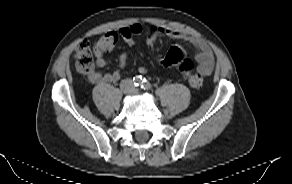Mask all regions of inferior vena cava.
I'll return each instance as SVG.
<instances>
[{
	"label": "inferior vena cava",
	"mask_w": 292,
	"mask_h": 184,
	"mask_svg": "<svg viewBox=\"0 0 292 184\" xmlns=\"http://www.w3.org/2000/svg\"><path fill=\"white\" fill-rule=\"evenodd\" d=\"M125 83H128V84L132 85V81L131 80H125ZM122 86H123V84H122Z\"/></svg>",
	"instance_id": "1"
}]
</instances>
